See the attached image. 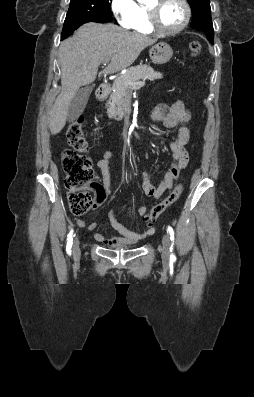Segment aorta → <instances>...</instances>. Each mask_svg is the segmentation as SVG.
Here are the masks:
<instances>
[{
  "label": "aorta",
  "instance_id": "762f6f07",
  "mask_svg": "<svg viewBox=\"0 0 254 397\" xmlns=\"http://www.w3.org/2000/svg\"><path fill=\"white\" fill-rule=\"evenodd\" d=\"M137 1L142 3V2H145V1H147V0H137Z\"/></svg>",
  "mask_w": 254,
  "mask_h": 397
}]
</instances>
